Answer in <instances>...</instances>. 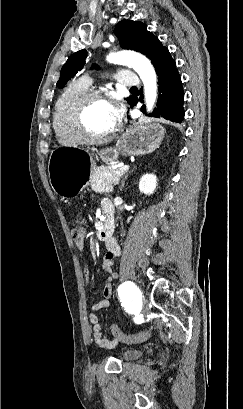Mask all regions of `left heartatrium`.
I'll list each match as a JSON object with an SVG mask.
<instances>
[{
    "mask_svg": "<svg viewBox=\"0 0 243 409\" xmlns=\"http://www.w3.org/2000/svg\"><path fill=\"white\" fill-rule=\"evenodd\" d=\"M120 117H121V110L115 109V110H114V121H115V124H116L117 121L120 119Z\"/></svg>",
    "mask_w": 243,
    "mask_h": 409,
    "instance_id": "39dd6f15",
    "label": "left heart atrium"
}]
</instances>
